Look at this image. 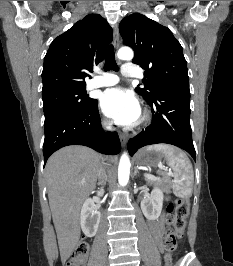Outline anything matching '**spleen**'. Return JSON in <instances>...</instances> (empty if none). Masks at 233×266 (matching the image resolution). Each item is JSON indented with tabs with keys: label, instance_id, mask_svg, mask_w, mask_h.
<instances>
[{
	"label": "spleen",
	"instance_id": "obj_1",
	"mask_svg": "<svg viewBox=\"0 0 233 266\" xmlns=\"http://www.w3.org/2000/svg\"><path fill=\"white\" fill-rule=\"evenodd\" d=\"M165 155L173 173L172 188L178 197H190L194 182L193 167L187 155L180 149L168 144H155L147 147Z\"/></svg>",
	"mask_w": 233,
	"mask_h": 266
}]
</instances>
